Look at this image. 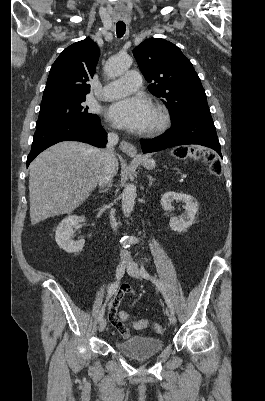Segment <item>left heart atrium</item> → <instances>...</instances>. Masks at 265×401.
<instances>
[{
    "mask_svg": "<svg viewBox=\"0 0 265 401\" xmlns=\"http://www.w3.org/2000/svg\"><path fill=\"white\" fill-rule=\"evenodd\" d=\"M152 109L151 104L142 97H127L111 103L106 116L118 127L140 130L147 128Z\"/></svg>",
    "mask_w": 265,
    "mask_h": 401,
    "instance_id": "39dd6f15",
    "label": "left heart atrium"
}]
</instances>
